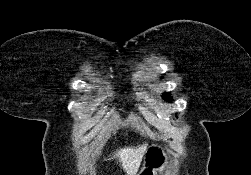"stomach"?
Wrapping results in <instances>:
<instances>
[{
    "label": "stomach",
    "instance_id": "stomach-1",
    "mask_svg": "<svg viewBox=\"0 0 251 175\" xmlns=\"http://www.w3.org/2000/svg\"><path fill=\"white\" fill-rule=\"evenodd\" d=\"M170 157L161 143H152L146 149L143 165L138 175H157L168 169Z\"/></svg>",
    "mask_w": 251,
    "mask_h": 175
}]
</instances>
